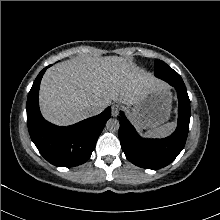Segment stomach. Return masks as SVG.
I'll use <instances>...</instances> for the list:
<instances>
[{"mask_svg": "<svg viewBox=\"0 0 220 220\" xmlns=\"http://www.w3.org/2000/svg\"><path fill=\"white\" fill-rule=\"evenodd\" d=\"M172 93L161 84L150 90L128 110L131 121L140 129H152L168 120L171 111Z\"/></svg>", "mask_w": 220, "mask_h": 220, "instance_id": "obj_1", "label": "stomach"}]
</instances>
